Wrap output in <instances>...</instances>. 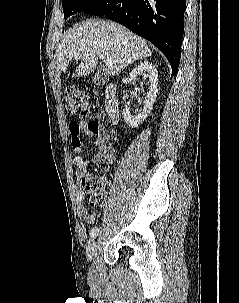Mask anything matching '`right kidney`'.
<instances>
[{"instance_id": "1", "label": "right kidney", "mask_w": 239, "mask_h": 303, "mask_svg": "<svg viewBox=\"0 0 239 303\" xmlns=\"http://www.w3.org/2000/svg\"><path fill=\"white\" fill-rule=\"evenodd\" d=\"M140 74H147L149 78V91L146 93V99L144 102L143 110L135 115H131L129 109L123 110V118L126 121L127 125L131 128H136L141 124L151 112L153 104L155 102L156 93H157V83H158V74L155 66L149 61H143L137 65L130 73V77L135 79ZM125 100V98L123 97Z\"/></svg>"}]
</instances>
